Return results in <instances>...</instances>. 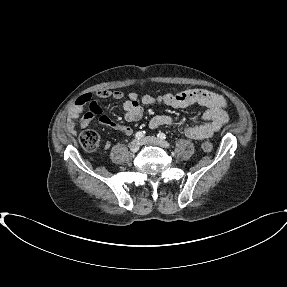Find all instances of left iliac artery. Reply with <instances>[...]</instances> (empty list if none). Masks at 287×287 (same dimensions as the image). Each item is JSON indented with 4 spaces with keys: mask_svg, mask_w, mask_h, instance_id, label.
<instances>
[{
    "mask_svg": "<svg viewBox=\"0 0 287 287\" xmlns=\"http://www.w3.org/2000/svg\"><path fill=\"white\" fill-rule=\"evenodd\" d=\"M157 137H158L159 139H161V140L166 139V135H165L164 133H162V132L158 133V134H157Z\"/></svg>",
    "mask_w": 287,
    "mask_h": 287,
    "instance_id": "44dca946",
    "label": "left iliac artery"
}]
</instances>
